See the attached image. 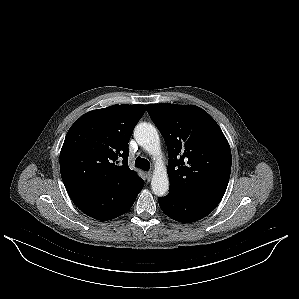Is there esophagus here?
Segmentation results:
<instances>
[{
  "mask_svg": "<svg viewBox=\"0 0 299 299\" xmlns=\"http://www.w3.org/2000/svg\"><path fill=\"white\" fill-rule=\"evenodd\" d=\"M147 181H150L152 178V172L148 171L145 173Z\"/></svg>",
  "mask_w": 299,
  "mask_h": 299,
  "instance_id": "34e87169",
  "label": "esophagus"
}]
</instances>
